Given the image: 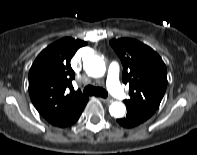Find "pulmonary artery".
Masks as SVG:
<instances>
[{"label":"pulmonary artery","instance_id":"e3ab8cb5","mask_svg":"<svg viewBox=\"0 0 197 155\" xmlns=\"http://www.w3.org/2000/svg\"><path fill=\"white\" fill-rule=\"evenodd\" d=\"M120 67L118 63L112 62L108 67L107 87L109 91L119 99L126 98L125 92L122 90L119 82Z\"/></svg>","mask_w":197,"mask_h":155}]
</instances>
